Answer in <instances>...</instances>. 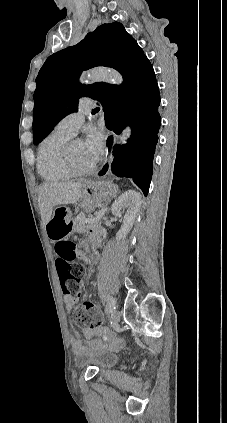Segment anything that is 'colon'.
<instances>
[{"label":"colon","mask_w":227,"mask_h":423,"mask_svg":"<svg viewBox=\"0 0 227 423\" xmlns=\"http://www.w3.org/2000/svg\"><path fill=\"white\" fill-rule=\"evenodd\" d=\"M70 224L65 221L56 222L51 228V236L55 241L56 268L64 295L76 296V286L80 283L83 268L76 262V247L69 240ZM78 326L95 329L100 324L98 309L91 302L79 305L74 315Z\"/></svg>","instance_id":"1"}]
</instances>
